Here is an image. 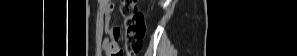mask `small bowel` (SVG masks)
I'll list each match as a JSON object with an SVG mask.
<instances>
[{
    "instance_id": "c3829d8e",
    "label": "small bowel",
    "mask_w": 297,
    "mask_h": 56,
    "mask_svg": "<svg viewBox=\"0 0 297 56\" xmlns=\"http://www.w3.org/2000/svg\"><path fill=\"white\" fill-rule=\"evenodd\" d=\"M114 10V5L109 3L106 6V17H105V30L108 33V37L102 41V48L106 55L114 56L117 51H120L119 40L121 37V29L118 27H111V13Z\"/></svg>"
}]
</instances>
